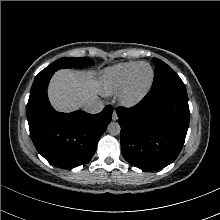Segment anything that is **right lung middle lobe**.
Wrapping results in <instances>:
<instances>
[{
    "instance_id": "right-lung-middle-lobe-1",
    "label": "right lung middle lobe",
    "mask_w": 220,
    "mask_h": 220,
    "mask_svg": "<svg viewBox=\"0 0 220 220\" xmlns=\"http://www.w3.org/2000/svg\"><path fill=\"white\" fill-rule=\"evenodd\" d=\"M92 64H94V62L88 58L64 57L50 64L48 67L42 70L37 76H42L49 72H55L61 68H70V67L83 68Z\"/></svg>"
}]
</instances>
